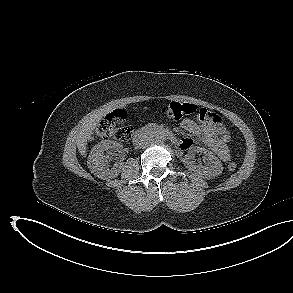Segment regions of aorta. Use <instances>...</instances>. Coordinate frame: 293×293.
I'll return each mask as SVG.
<instances>
[{
    "mask_svg": "<svg viewBox=\"0 0 293 293\" xmlns=\"http://www.w3.org/2000/svg\"><path fill=\"white\" fill-rule=\"evenodd\" d=\"M165 139L166 137L164 135H158L157 137H155V141L158 143L165 141Z\"/></svg>",
    "mask_w": 293,
    "mask_h": 293,
    "instance_id": "aorta-1",
    "label": "aorta"
}]
</instances>
